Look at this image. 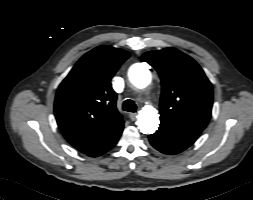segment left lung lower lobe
Returning <instances> with one entry per match:
<instances>
[{
	"instance_id": "1",
	"label": "left lung lower lobe",
	"mask_w": 253,
	"mask_h": 200,
	"mask_svg": "<svg viewBox=\"0 0 253 200\" xmlns=\"http://www.w3.org/2000/svg\"><path fill=\"white\" fill-rule=\"evenodd\" d=\"M202 131L168 119H160V127L149 135L150 144L168 155L178 154L190 147Z\"/></svg>"
}]
</instances>
